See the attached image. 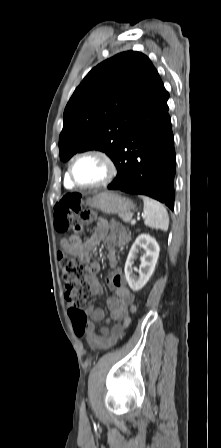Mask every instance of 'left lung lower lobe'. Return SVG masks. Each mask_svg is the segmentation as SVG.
Listing matches in <instances>:
<instances>
[{
  "mask_svg": "<svg viewBox=\"0 0 221 448\" xmlns=\"http://www.w3.org/2000/svg\"><path fill=\"white\" fill-rule=\"evenodd\" d=\"M163 92L125 134L113 160L118 173L108 189L142 194L174 208V138Z\"/></svg>",
  "mask_w": 221,
  "mask_h": 448,
  "instance_id": "1",
  "label": "left lung lower lobe"
}]
</instances>
